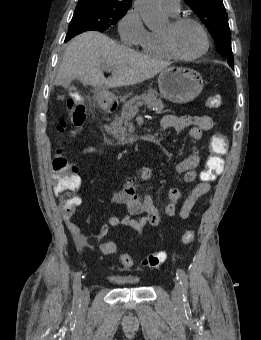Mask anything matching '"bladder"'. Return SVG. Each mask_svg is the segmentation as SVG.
Listing matches in <instances>:
<instances>
[{
	"mask_svg": "<svg viewBox=\"0 0 261 340\" xmlns=\"http://www.w3.org/2000/svg\"><path fill=\"white\" fill-rule=\"evenodd\" d=\"M109 279L123 286H137L141 282L137 276L110 275Z\"/></svg>",
	"mask_w": 261,
	"mask_h": 340,
	"instance_id": "31cf9c89",
	"label": "bladder"
}]
</instances>
